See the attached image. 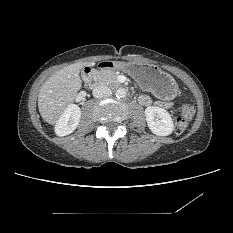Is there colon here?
Here are the masks:
<instances>
[{
	"label": "colon",
	"instance_id": "1",
	"mask_svg": "<svg viewBox=\"0 0 233 233\" xmlns=\"http://www.w3.org/2000/svg\"><path fill=\"white\" fill-rule=\"evenodd\" d=\"M180 115L175 121V132L181 134L187 128L188 122L195 114V107L191 103H182L179 107Z\"/></svg>",
	"mask_w": 233,
	"mask_h": 233
}]
</instances>
